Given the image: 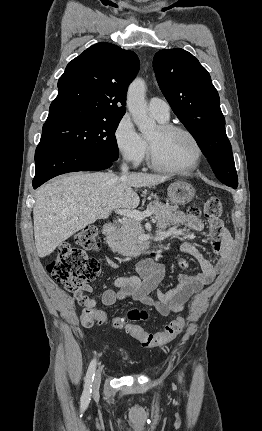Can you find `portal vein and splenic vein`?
<instances>
[{
	"label": "portal vein and splenic vein",
	"instance_id": "18ae733b",
	"mask_svg": "<svg viewBox=\"0 0 262 431\" xmlns=\"http://www.w3.org/2000/svg\"><path fill=\"white\" fill-rule=\"evenodd\" d=\"M87 210H89V208H84V211ZM115 212L121 216H124L125 221H127V218L142 221L145 217H150L152 215L150 211L139 212L137 210L131 209H118Z\"/></svg>",
	"mask_w": 262,
	"mask_h": 431
}]
</instances>
